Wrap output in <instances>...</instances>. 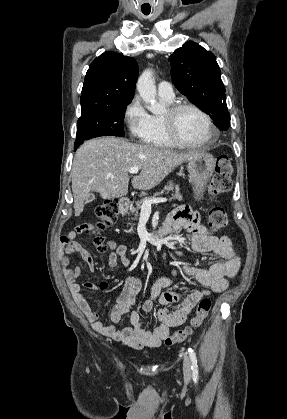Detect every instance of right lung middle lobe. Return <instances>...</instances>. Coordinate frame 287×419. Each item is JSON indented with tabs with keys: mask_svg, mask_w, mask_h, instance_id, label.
<instances>
[{
	"mask_svg": "<svg viewBox=\"0 0 287 419\" xmlns=\"http://www.w3.org/2000/svg\"><path fill=\"white\" fill-rule=\"evenodd\" d=\"M130 102L104 105L81 113L77 122L74 148L85 140L99 136L124 137V115Z\"/></svg>",
	"mask_w": 287,
	"mask_h": 419,
	"instance_id": "dd1d6c3e",
	"label": "right lung middle lobe"
}]
</instances>
